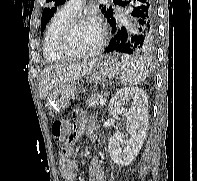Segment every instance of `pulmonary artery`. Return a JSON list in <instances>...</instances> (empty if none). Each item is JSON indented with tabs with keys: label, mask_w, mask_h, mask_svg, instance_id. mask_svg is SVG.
Here are the masks:
<instances>
[{
	"label": "pulmonary artery",
	"mask_w": 197,
	"mask_h": 181,
	"mask_svg": "<svg viewBox=\"0 0 197 181\" xmlns=\"http://www.w3.org/2000/svg\"><path fill=\"white\" fill-rule=\"evenodd\" d=\"M83 3L84 0H68L64 7L77 14L81 10Z\"/></svg>",
	"instance_id": "1"
}]
</instances>
